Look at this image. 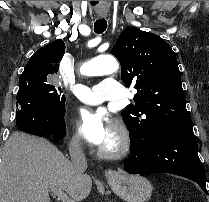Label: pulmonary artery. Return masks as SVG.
I'll list each match as a JSON object with an SVG mask.
<instances>
[{"instance_id":"e3ab8cb5","label":"pulmonary artery","mask_w":209,"mask_h":202,"mask_svg":"<svg viewBox=\"0 0 209 202\" xmlns=\"http://www.w3.org/2000/svg\"><path fill=\"white\" fill-rule=\"evenodd\" d=\"M74 94L80 101L92 105H99L104 100L118 101L122 98L119 82L110 78L101 80L93 86L78 84Z\"/></svg>"}]
</instances>
